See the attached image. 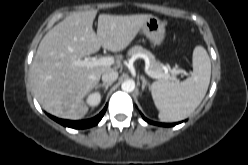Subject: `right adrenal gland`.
<instances>
[{"instance_id":"1","label":"right adrenal gland","mask_w":248,"mask_h":165,"mask_svg":"<svg viewBox=\"0 0 248 165\" xmlns=\"http://www.w3.org/2000/svg\"><path fill=\"white\" fill-rule=\"evenodd\" d=\"M111 85H112L111 83H108V84H106V83L97 84V85H96V89H97V88H100V87H105V91H107V90H108V87L111 86Z\"/></svg>"}]
</instances>
